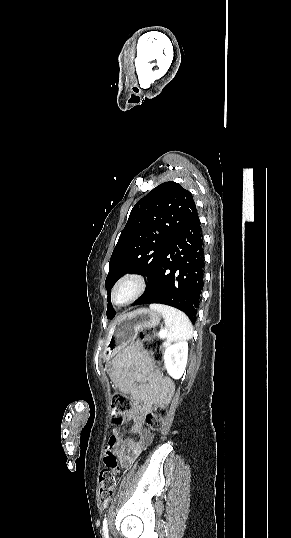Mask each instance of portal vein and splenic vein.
<instances>
[{
	"instance_id": "18ae733b",
	"label": "portal vein and splenic vein",
	"mask_w": 291,
	"mask_h": 538,
	"mask_svg": "<svg viewBox=\"0 0 291 538\" xmlns=\"http://www.w3.org/2000/svg\"><path fill=\"white\" fill-rule=\"evenodd\" d=\"M166 335H167V331H160V332H159V336H160L161 338H164Z\"/></svg>"
}]
</instances>
